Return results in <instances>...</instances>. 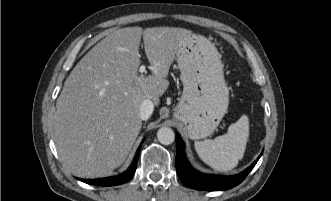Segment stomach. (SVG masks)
Wrapping results in <instances>:
<instances>
[{"instance_id": "0dacf381", "label": "stomach", "mask_w": 331, "mask_h": 201, "mask_svg": "<svg viewBox=\"0 0 331 201\" xmlns=\"http://www.w3.org/2000/svg\"><path fill=\"white\" fill-rule=\"evenodd\" d=\"M176 59L184 89L174 116L191 139L206 138L217 128L229 104L220 54L206 37L191 34Z\"/></svg>"}]
</instances>
